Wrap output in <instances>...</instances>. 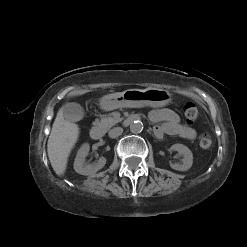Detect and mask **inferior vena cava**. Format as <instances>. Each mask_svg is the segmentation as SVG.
I'll return each instance as SVG.
<instances>
[{"label":"inferior vena cava","mask_w":247,"mask_h":247,"mask_svg":"<svg viewBox=\"0 0 247 247\" xmlns=\"http://www.w3.org/2000/svg\"><path fill=\"white\" fill-rule=\"evenodd\" d=\"M123 133V128L121 127H115L113 129H111L108 133L110 138H117L118 136H120Z\"/></svg>","instance_id":"inferior-vena-cava-1"}]
</instances>
